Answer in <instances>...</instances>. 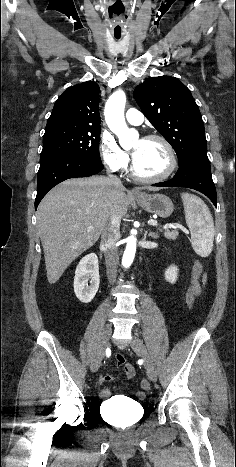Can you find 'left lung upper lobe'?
<instances>
[{"label": "left lung upper lobe", "mask_w": 236, "mask_h": 467, "mask_svg": "<svg viewBox=\"0 0 236 467\" xmlns=\"http://www.w3.org/2000/svg\"><path fill=\"white\" fill-rule=\"evenodd\" d=\"M134 98L150 123L175 150L178 162L206 151L204 123L190 90L177 78L151 77L134 90Z\"/></svg>", "instance_id": "obj_1"}]
</instances>
